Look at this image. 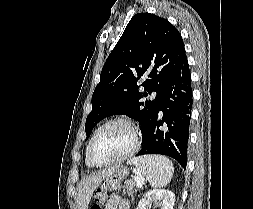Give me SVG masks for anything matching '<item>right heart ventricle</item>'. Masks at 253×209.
Instances as JSON below:
<instances>
[{
	"label": "right heart ventricle",
	"mask_w": 253,
	"mask_h": 209,
	"mask_svg": "<svg viewBox=\"0 0 253 209\" xmlns=\"http://www.w3.org/2000/svg\"><path fill=\"white\" fill-rule=\"evenodd\" d=\"M87 149H88V146H87V148H86V153H85V163H86V165H87L88 167H91V165H90V163H89V161H88Z\"/></svg>",
	"instance_id": "right-heart-ventricle-1"
}]
</instances>
